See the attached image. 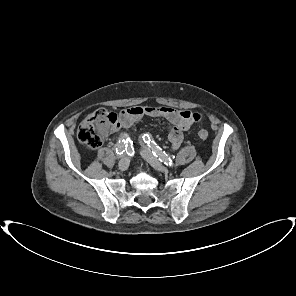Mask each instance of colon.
Here are the masks:
<instances>
[{"label": "colon", "mask_w": 296, "mask_h": 296, "mask_svg": "<svg viewBox=\"0 0 296 296\" xmlns=\"http://www.w3.org/2000/svg\"><path fill=\"white\" fill-rule=\"evenodd\" d=\"M195 121L201 119V115L195 113L193 115ZM118 126V115L105 109H98L87 116L77 129V137L80 142L90 148H98L103 142V138ZM200 140L208 138L206 130L198 132Z\"/></svg>", "instance_id": "5ec220e1"}]
</instances>
